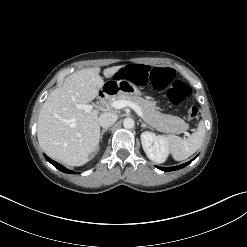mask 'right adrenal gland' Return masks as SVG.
Segmentation results:
<instances>
[{"label": "right adrenal gland", "instance_id": "obj_1", "mask_svg": "<svg viewBox=\"0 0 247 247\" xmlns=\"http://www.w3.org/2000/svg\"><path fill=\"white\" fill-rule=\"evenodd\" d=\"M108 130V128H104L102 129L101 133H100V137L102 138L103 134Z\"/></svg>", "mask_w": 247, "mask_h": 247}]
</instances>
